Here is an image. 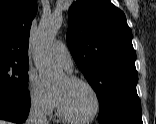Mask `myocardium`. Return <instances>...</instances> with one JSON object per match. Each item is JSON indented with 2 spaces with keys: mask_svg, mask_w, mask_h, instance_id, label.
Wrapping results in <instances>:
<instances>
[{
  "mask_svg": "<svg viewBox=\"0 0 156 124\" xmlns=\"http://www.w3.org/2000/svg\"><path fill=\"white\" fill-rule=\"evenodd\" d=\"M66 79L71 83H78L86 86L89 90L93 93L95 100H96V109L95 111L88 117H76L72 115L64 106L59 94L54 91L55 97V104L57 108V112L61 118L66 121L73 122V123H88L95 120L102 112L103 102L100 93L98 92L97 88L88 80L78 77L75 75L67 74Z\"/></svg>",
  "mask_w": 156,
  "mask_h": 124,
  "instance_id": "myocardium-1",
  "label": "myocardium"
}]
</instances>
